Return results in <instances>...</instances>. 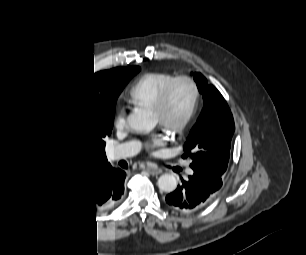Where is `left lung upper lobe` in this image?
Returning <instances> with one entry per match:
<instances>
[{
    "instance_id": "1",
    "label": "left lung upper lobe",
    "mask_w": 306,
    "mask_h": 255,
    "mask_svg": "<svg viewBox=\"0 0 306 255\" xmlns=\"http://www.w3.org/2000/svg\"><path fill=\"white\" fill-rule=\"evenodd\" d=\"M204 109L185 144L183 158H191V168L207 167L223 176L227 169L231 139L235 130L232 113L221 95L200 74H194Z\"/></svg>"
}]
</instances>
